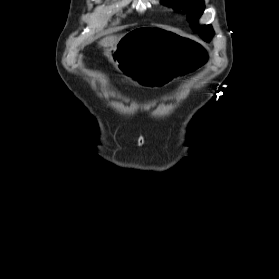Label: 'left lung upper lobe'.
Returning a JSON list of instances; mask_svg holds the SVG:
<instances>
[{
    "mask_svg": "<svg viewBox=\"0 0 279 279\" xmlns=\"http://www.w3.org/2000/svg\"><path fill=\"white\" fill-rule=\"evenodd\" d=\"M162 3L167 6H172L176 10L188 11V21L190 26L199 33V35L206 41H209L214 31L211 25L199 27L197 25V19L202 15L204 11L203 0H163Z\"/></svg>",
    "mask_w": 279,
    "mask_h": 279,
    "instance_id": "5c2ea615",
    "label": "left lung upper lobe"
}]
</instances>
